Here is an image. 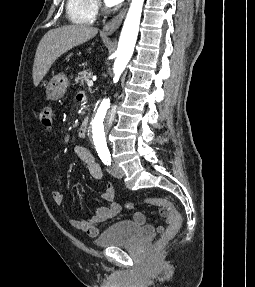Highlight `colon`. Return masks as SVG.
<instances>
[{
	"label": "colon",
	"mask_w": 255,
	"mask_h": 287,
	"mask_svg": "<svg viewBox=\"0 0 255 287\" xmlns=\"http://www.w3.org/2000/svg\"><path fill=\"white\" fill-rule=\"evenodd\" d=\"M38 119L40 120L43 127L46 129H51L54 119L53 109L50 106H42L38 110ZM146 204L157 205L164 207L170 213L171 222L167 230L163 233L160 239V243H164L170 239H172L181 229L182 226V217L180 213L176 210V208L167 200L161 198H151L145 201ZM136 204L129 203L127 204V208L132 209L136 207Z\"/></svg>",
	"instance_id": "obj_1"
}]
</instances>
